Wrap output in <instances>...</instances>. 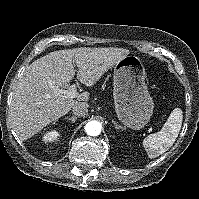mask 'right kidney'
<instances>
[{
	"label": "right kidney",
	"instance_id": "1",
	"mask_svg": "<svg viewBox=\"0 0 199 199\" xmlns=\"http://www.w3.org/2000/svg\"><path fill=\"white\" fill-rule=\"evenodd\" d=\"M60 134L56 131H47L43 133V141L45 142H54L58 139Z\"/></svg>",
	"mask_w": 199,
	"mask_h": 199
}]
</instances>
